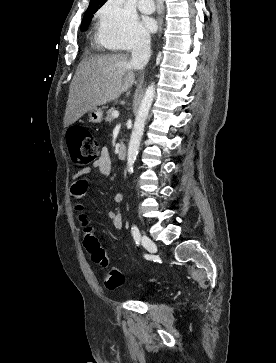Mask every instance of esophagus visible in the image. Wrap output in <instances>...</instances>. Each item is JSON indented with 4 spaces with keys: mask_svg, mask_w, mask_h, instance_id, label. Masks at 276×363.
Segmentation results:
<instances>
[{
    "mask_svg": "<svg viewBox=\"0 0 276 363\" xmlns=\"http://www.w3.org/2000/svg\"><path fill=\"white\" fill-rule=\"evenodd\" d=\"M157 1H158V2H160V0H157ZM162 21H163V17H162V16H160V17H159V23H160V24H162Z\"/></svg>",
    "mask_w": 276,
    "mask_h": 363,
    "instance_id": "esophagus-1",
    "label": "esophagus"
}]
</instances>
